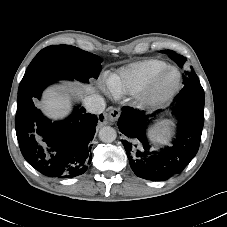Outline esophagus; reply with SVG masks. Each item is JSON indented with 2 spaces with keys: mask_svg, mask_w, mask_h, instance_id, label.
I'll use <instances>...</instances> for the list:
<instances>
[{
  "mask_svg": "<svg viewBox=\"0 0 227 227\" xmlns=\"http://www.w3.org/2000/svg\"><path fill=\"white\" fill-rule=\"evenodd\" d=\"M119 116H120V109L114 108L107 114V119L110 122H115L118 120ZM99 123L104 124L105 119L103 121L101 119H99Z\"/></svg>",
  "mask_w": 227,
  "mask_h": 227,
  "instance_id": "esophagus-1",
  "label": "esophagus"
}]
</instances>
